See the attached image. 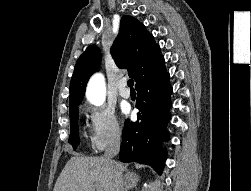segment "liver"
<instances>
[{
	"label": "liver",
	"instance_id": "1",
	"mask_svg": "<svg viewBox=\"0 0 251 191\" xmlns=\"http://www.w3.org/2000/svg\"><path fill=\"white\" fill-rule=\"evenodd\" d=\"M126 169L121 161L74 155L63 167L53 191H116V175Z\"/></svg>",
	"mask_w": 251,
	"mask_h": 191
}]
</instances>
